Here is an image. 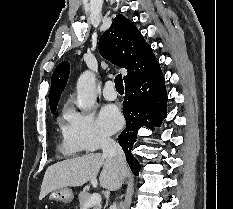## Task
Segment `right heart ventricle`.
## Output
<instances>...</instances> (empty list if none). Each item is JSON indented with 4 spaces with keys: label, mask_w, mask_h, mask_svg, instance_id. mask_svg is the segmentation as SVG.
Wrapping results in <instances>:
<instances>
[{
    "label": "right heart ventricle",
    "mask_w": 233,
    "mask_h": 209,
    "mask_svg": "<svg viewBox=\"0 0 233 209\" xmlns=\"http://www.w3.org/2000/svg\"><path fill=\"white\" fill-rule=\"evenodd\" d=\"M62 119H60V124H62ZM81 150L73 147L70 145L66 140L64 141V144L61 147V152L66 155H75L78 154Z\"/></svg>",
    "instance_id": "right-heart-ventricle-1"
}]
</instances>
